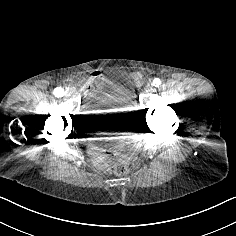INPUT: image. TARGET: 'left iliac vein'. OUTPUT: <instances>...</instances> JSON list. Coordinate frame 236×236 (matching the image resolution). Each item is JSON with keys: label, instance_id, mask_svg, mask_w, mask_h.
I'll list each match as a JSON object with an SVG mask.
<instances>
[{"label": "left iliac vein", "instance_id": "4c4485c4", "mask_svg": "<svg viewBox=\"0 0 236 236\" xmlns=\"http://www.w3.org/2000/svg\"><path fill=\"white\" fill-rule=\"evenodd\" d=\"M144 90L145 92L150 93V94L153 93L154 91L152 85L150 84L145 85Z\"/></svg>", "mask_w": 236, "mask_h": 236}]
</instances>
